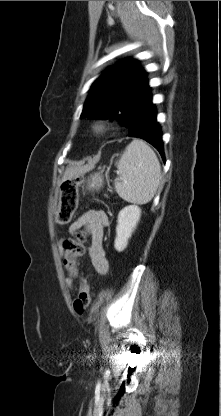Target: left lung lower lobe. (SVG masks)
<instances>
[{"label": "left lung lower lobe", "instance_id": "1", "mask_svg": "<svg viewBox=\"0 0 221 416\" xmlns=\"http://www.w3.org/2000/svg\"><path fill=\"white\" fill-rule=\"evenodd\" d=\"M157 111L152 96L145 98L136 108L128 126V136L141 138L153 145L164 159L161 128L156 120Z\"/></svg>", "mask_w": 221, "mask_h": 416}]
</instances>
